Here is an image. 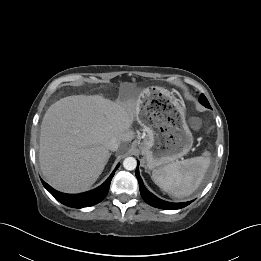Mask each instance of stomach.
<instances>
[{
	"label": "stomach",
	"mask_w": 261,
	"mask_h": 261,
	"mask_svg": "<svg viewBox=\"0 0 261 261\" xmlns=\"http://www.w3.org/2000/svg\"><path fill=\"white\" fill-rule=\"evenodd\" d=\"M136 119L147 134L139 143L147 169L161 168L190 152L193 136L172 91L157 86L145 89Z\"/></svg>",
	"instance_id": "0dacf381"
}]
</instances>
